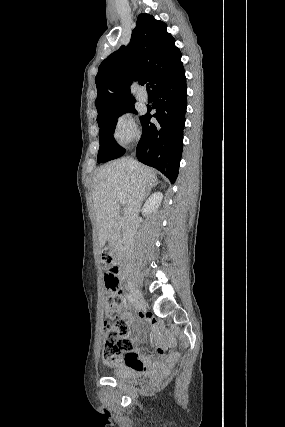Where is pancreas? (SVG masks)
I'll return each mask as SVG.
<instances>
[{"label":"pancreas","instance_id":"pancreas-1","mask_svg":"<svg viewBox=\"0 0 285 427\" xmlns=\"http://www.w3.org/2000/svg\"><path fill=\"white\" fill-rule=\"evenodd\" d=\"M109 243L112 246H120L121 245V235L118 229H115L110 238H109Z\"/></svg>","mask_w":285,"mask_h":427}]
</instances>
